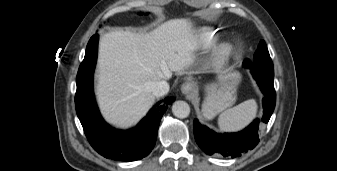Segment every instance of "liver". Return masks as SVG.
Wrapping results in <instances>:
<instances>
[{"label":"liver","mask_w":337,"mask_h":171,"mask_svg":"<svg viewBox=\"0 0 337 171\" xmlns=\"http://www.w3.org/2000/svg\"><path fill=\"white\" fill-rule=\"evenodd\" d=\"M197 42L186 19L169 20L149 33L112 31L99 43L97 98L106 121L135 125L155 102L150 83L184 73Z\"/></svg>","instance_id":"6515ba94"}]
</instances>
